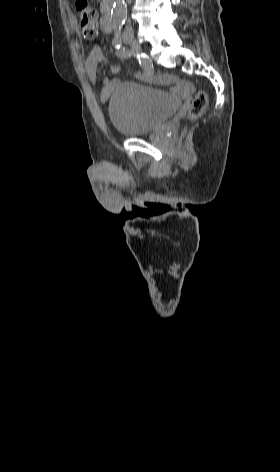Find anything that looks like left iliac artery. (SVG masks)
Masks as SVG:
<instances>
[{
    "label": "left iliac artery",
    "instance_id": "left-iliac-artery-1",
    "mask_svg": "<svg viewBox=\"0 0 280 472\" xmlns=\"http://www.w3.org/2000/svg\"><path fill=\"white\" fill-rule=\"evenodd\" d=\"M114 33H115V36L113 38V45L116 47V48H119L121 47L122 45V38H121V25L119 26H116L114 28Z\"/></svg>",
    "mask_w": 280,
    "mask_h": 472
}]
</instances>
